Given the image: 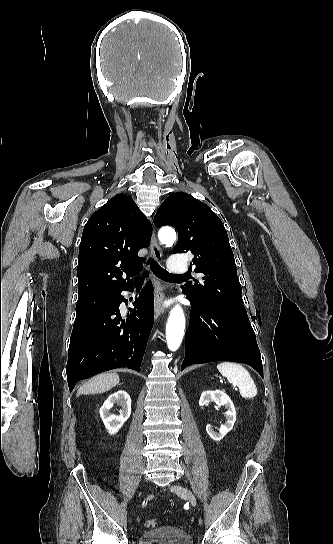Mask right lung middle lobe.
I'll use <instances>...</instances> for the list:
<instances>
[{"instance_id": "1", "label": "right lung middle lobe", "mask_w": 333, "mask_h": 544, "mask_svg": "<svg viewBox=\"0 0 333 544\" xmlns=\"http://www.w3.org/2000/svg\"><path fill=\"white\" fill-rule=\"evenodd\" d=\"M115 298V294H106L77 301L75 322L83 320L112 304Z\"/></svg>"}]
</instances>
